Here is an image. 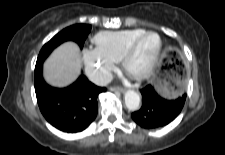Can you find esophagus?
<instances>
[{"label": "esophagus", "mask_w": 225, "mask_h": 155, "mask_svg": "<svg viewBox=\"0 0 225 155\" xmlns=\"http://www.w3.org/2000/svg\"><path fill=\"white\" fill-rule=\"evenodd\" d=\"M111 90L115 91V92H120V93H124L125 92V89L121 88V87H112Z\"/></svg>", "instance_id": "34e87169"}]
</instances>
